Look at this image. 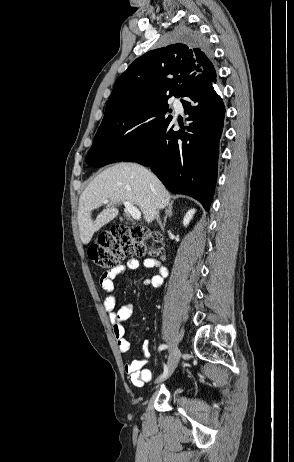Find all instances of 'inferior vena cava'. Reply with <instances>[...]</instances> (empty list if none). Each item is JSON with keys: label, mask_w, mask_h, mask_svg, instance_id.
I'll list each match as a JSON object with an SVG mask.
<instances>
[{"label": "inferior vena cava", "mask_w": 294, "mask_h": 462, "mask_svg": "<svg viewBox=\"0 0 294 462\" xmlns=\"http://www.w3.org/2000/svg\"><path fill=\"white\" fill-rule=\"evenodd\" d=\"M155 217H156L157 221H159V210L156 211Z\"/></svg>", "instance_id": "602c4592"}]
</instances>
